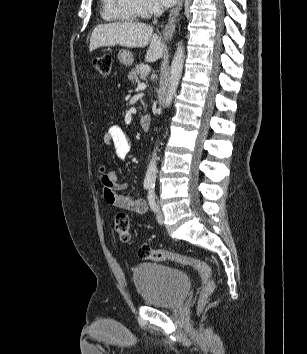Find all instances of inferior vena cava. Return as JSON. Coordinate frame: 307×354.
Here are the masks:
<instances>
[{
  "label": "inferior vena cava",
  "instance_id": "1",
  "mask_svg": "<svg viewBox=\"0 0 307 354\" xmlns=\"http://www.w3.org/2000/svg\"><path fill=\"white\" fill-rule=\"evenodd\" d=\"M163 10L160 7H154L153 9V13H154V21L153 23L156 24L157 23V17H159L162 14Z\"/></svg>",
  "mask_w": 307,
  "mask_h": 354
}]
</instances>
